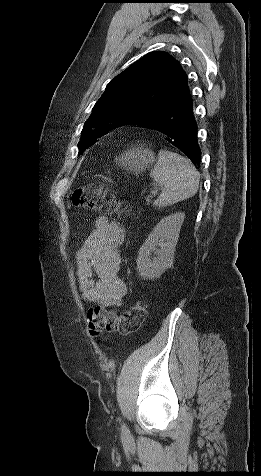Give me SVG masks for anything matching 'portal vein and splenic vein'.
<instances>
[{
    "label": "portal vein and splenic vein",
    "mask_w": 261,
    "mask_h": 476,
    "mask_svg": "<svg viewBox=\"0 0 261 476\" xmlns=\"http://www.w3.org/2000/svg\"><path fill=\"white\" fill-rule=\"evenodd\" d=\"M156 194H157V191L154 192V195H156Z\"/></svg>",
    "instance_id": "18ae733b"
}]
</instances>
